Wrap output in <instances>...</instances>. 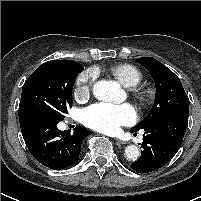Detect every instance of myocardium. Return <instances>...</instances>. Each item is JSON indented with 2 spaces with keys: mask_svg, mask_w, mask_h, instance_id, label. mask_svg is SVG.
I'll return each instance as SVG.
<instances>
[{
  "mask_svg": "<svg viewBox=\"0 0 201 201\" xmlns=\"http://www.w3.org/2000/svg\"><path fill=\"white\" fill-rule=\"evenodd\" d=\"M133 97L135 101L139 105H144L148 101V94L145 90L139 88V87H134L132 89Z\"/></svg>",
  "mask_w": 201,
  "mask_h": 201,
  "instance_id": "1",
  "label": "myocardium"
}]
</instances>
